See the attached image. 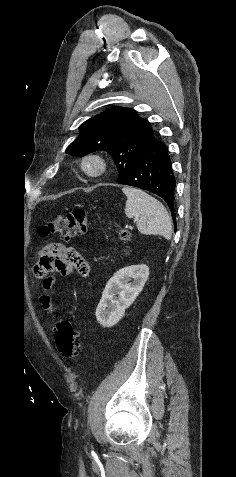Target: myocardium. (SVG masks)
Masks as SVG:
<instances>
[{
	"mask_svg": "<svg viewBox=\"0 0 236 477\" xmlns=\"http://www.w3.org/2000/svg\"><path fill=\"white\" fill-rule=\"evenodd\" d=\"M82 172L89 177H98L107 169L106 161L99 155L87 154L80 163Z\"/></svg>",
	"mask_w": 236,
	"mask_h": 477,
	"instance_id": "obj_1",
	"label": "myocardium"
}]
</instances>
